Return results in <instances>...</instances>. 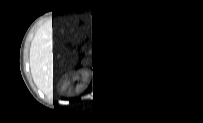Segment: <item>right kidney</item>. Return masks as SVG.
Segmentation results:
<instances>
[{"mask_svg": "<svg viewBox=\"0 0 203 123\" xmlns=\"http://www.w3.org/2000/svg\"><path fill=\"white\" fill-rule=\"evenodd\" d=\"M92 78V72L86 69H80L63 77L58 90L62 96L74 97L83 93L89 86Z\"/></svg>", "mask_w": 203, "mask_h": 123, "instance_id": "right-kidney-1", "label": "right kidney"}]
</instances>
